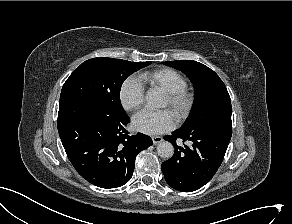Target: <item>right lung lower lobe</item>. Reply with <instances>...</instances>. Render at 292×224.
<instances>
[{
    "label": "right lung lower lobe",
    "instance_id": "98d812e1",
    "mask_svg": "<svg viewBox=\"0 0 292 224\" xmlns=\"http://www.w3.org/2000/svg\"><path fill=\"white\" fill-rule=\"evenodd\" d=\"M125 114H110L80 99L60 101L58 132L77 172L100 188H117L132 177L138 153L153 144L142 133L129 135Z\"/></svg>",
    "mask_w": 292,
    "mask_h": 224
}]
</instances>
